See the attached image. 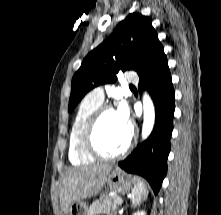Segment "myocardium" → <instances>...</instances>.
Listing matches in <instances>:
<instances>
[{
  "mask_svg": "<svg viewBox=\"0 0 221 215\" xmlns=\"http://www.w3.org/2000/svg\"><path fill=\"white\" fill-rule=\"evenodd\" d=\"M115 111L114 108L110 105H101L91 116L89 119L86 128L83 133V147L85 151L95 159H103V160H115L119 159L130 152L132 149L136 137L135 132L132 127H130V137L126 144V146L117 153L107 154L104 153L96 144V131L101 121L102 117L108 113Z\"/></svg>",
  "mask_w": 221,
  "mask_h": 215,
  "instance_id": "1",
  "label": "myocardium"
}]
</instances>
